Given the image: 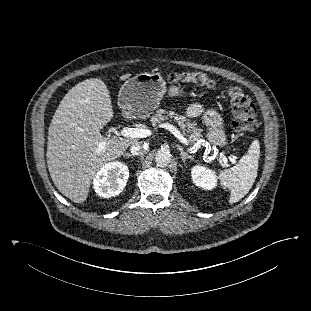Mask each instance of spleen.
<instances>
[{"mask_svg":"<svg viewBox=\"0 0 311 311\" xmlns=\"http://www.w3.org/2000/svg\"><path fill=\"white\" fill-rule=\"evenodd\" d=\"M260 144L254 140L239 163L219 173L222 186L230 190L229 203L241 200L252 188L257 177Z\"/></svg>","mask_w":311,"mask_h":311,"instance_id":"obj_1","label":"spleen"}]
</instances>
